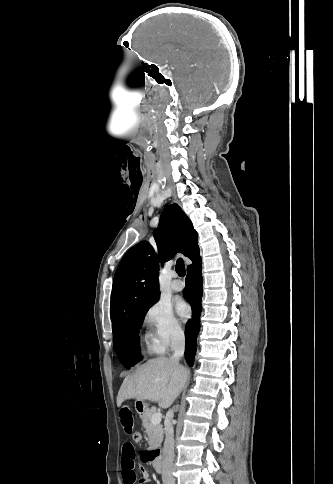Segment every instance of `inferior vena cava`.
<instances>
[{
    "label": "inferior vena cava",
    "instance_id": "obj_1",
    "mask_svg": "<svg viewBox=\"0 0 333 484\" xmlns=\"http://www.w3.org/2000/svg\"><path fill=\"white\" fill-rule=\"evenodd\" d=\"M171 349L174 351L172 359L179 360L184 355L185 336L181 328L176 329L171 337ZM170 419L173 418V411H169ZM165 442L162 457V481L163 484H175L173 477V459H174V429L172 423L165 427Z\"/></svg>",
    "mask_w": 333,
    "mask_h": 484
}]
</instances>
